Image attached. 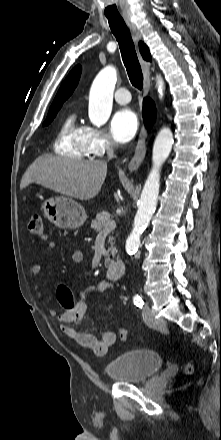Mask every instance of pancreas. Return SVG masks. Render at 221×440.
Returning <instances> with one entry per match:
<instances>
[{"mask_svg": "<svg viewBox=\"0 0 221 440\" xmlns=\"http://www.w3.org/2000/svg\"><path fill=\"white\" fill-rule=\"evenodd\" d=\"M110 221V214L106 211H103L101 213H98L96 215V218L92 220L91 227L97 231H103L104 227L109 223ZM112 240V238H111ZM109 251L114 252L113 243L111 242V247L108 249Z\"/></svg>", "mask_w": 221, "mask_h": 440, "instance_id": "obj_1", "label": "pancreas"}]
</instances>
